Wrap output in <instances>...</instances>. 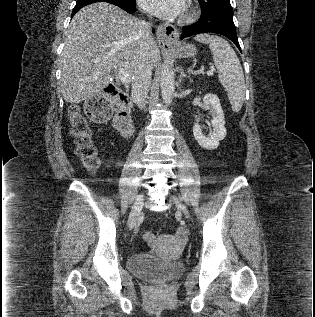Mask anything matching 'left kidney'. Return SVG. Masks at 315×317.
Instances as JSON below:
<instances>
[{
	"label": "left kidney",
	"mask_w": 315,
	"mask_h": 317,
	"mask_svg": "<svg viewBox=\"0 0 315 317\" xmlns=\"http://www.w3.org/2000/svg\"><path fill=\"white\" fill-rule=\"evenodd\" d=\"M204 108L210 110L212 114V130L209 135H205L198 123H194L193 134L198 144L207 149L213 150L219 146V142L226 136L224 112L217 95L208 93L203 98Z\"/></svg>",
	"instance_id": "left-kidney-1"
}]
</instances>
